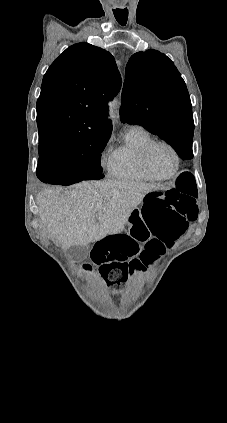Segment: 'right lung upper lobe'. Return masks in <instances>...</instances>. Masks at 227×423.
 <instances>
[{"label": "right lung upper lobe", "instance_id": "1", "mask_svg": "<svg viewBox=\"0 0 227 423\" xmlns=\"http://www.w3.org/2000/svg\"><path fill=\"white\" fill-rule=\"evenodd\" d=\"M122 79L114 57L104 49L77 43L44 75L37 100L39 144L82 135H111L107 103Z\"/></svg>", "mask_w": 227, "mask_h": 423}]
</instances>
